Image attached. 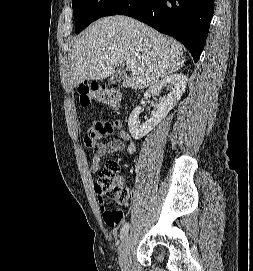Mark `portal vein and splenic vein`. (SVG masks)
Segmentation results:
<instances>
[{
  "mask_svg": "<svg viewBox=\"0 0 253 271\" xmlns=\"http://www.w3.org/2000/svg\"><path fill=\"white\" fill-rule=\"evenodd\" d=\"M126 65H127V68H129V69H133L135 67L134 62L129 61V60L126 61Z\"/></svg>",
  "mask_w": 253,
  "mask_h": 271,
  "instance_id": "18ae733b",
  "label": "portal vein and splenic vein"
}]
</instances>
